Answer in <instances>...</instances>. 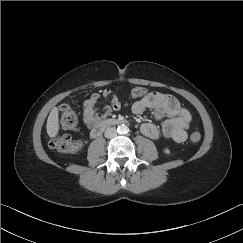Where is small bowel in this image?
Returning <instances> with one entry per match:
<instances>
[{
  "instance_id": "c3829d8e",
  "label": "small bowel",
  "mask_w": 243,
  "mask_h": 243,
  "mask_svg": "<svg viewBox=\"0 0 243 243\" xmlns=\"http://www.w3.org/2000/svg\"><path fill=\"white\" fill-rule=\"evenodd\" d=\"M102 103L105 105L101 106ZM122 107V100L110 89H105L101 93H93L83 103V123L87 128L95 127L103 118ZM147 109L152 111L156 122L161 121L165 116L168 118L163 121L161 126L155 122H144L141 125L144 135L152 139L165 136L178 143L185 141L192 116L175 97L159 92H149L137 99L131 106V112L135 115L142 114Z\"/></svg>"
}]
</instances>
